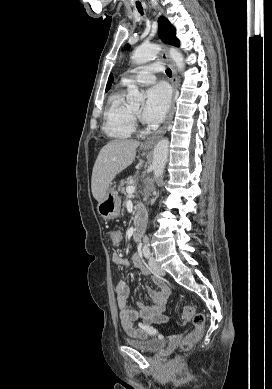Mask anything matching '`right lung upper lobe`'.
<instances>
[{"instance_id": "cb5924a9", "label": "right lung upper lobe", "mask_w": 272, "mask_h": 389, "mask_svg": "<svg viewBox=\"0 0 272 389\" xmlns=\"http://www.w3.org/2000/svg\"><path fill=\"white\" fill-rule=\"evenodd\" d=\"M112 82H113V76L110 75L109 79H108V82H107L106 91H108L110 89V86H111Z\"/></svg>"}]
</instances>
